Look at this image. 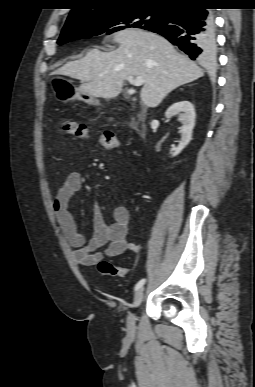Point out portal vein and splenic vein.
Listing matches in <instances>:
<instances>
[{
	"label": "portal vein and splenic vein",
	"instance_id": "obj_1",
	"mask_svg": "<svg viewBox=\"0 0 255 387\" xmlns=\"http://www.w3.org/2000/svg\"><path fill=\"white\" fill-rule=\"evenodd\" d=\"M128 81L133 85V86H136V87H139L141 85L144 84L145 80L143 77H136V78H133V77H129L128 78Z\"/></svg>",
	"mask_w": 255,
	"mask_h": 387
}]
</instances>
